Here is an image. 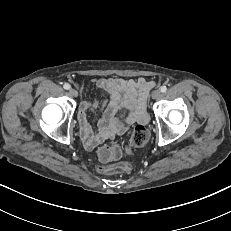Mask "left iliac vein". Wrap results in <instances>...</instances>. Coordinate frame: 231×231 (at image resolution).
<instances>
[{
    "instance_id": "left-iliac-vein-1",
    "label": "left iliac vein",
    "mask_w": 231,
    "mask_h": 231,
    "mask_svg": "<svg viewBox=\"0 0 231 231\" xmlns=\"http://www.w3.org/2000/svg\"><path fill=\"white\" fill-rule=\"evenodd\" d=\"M153 99H158L161 96V92L159 90H154L151 94Z\"/></svg>"
}]
</instances>
